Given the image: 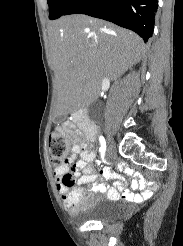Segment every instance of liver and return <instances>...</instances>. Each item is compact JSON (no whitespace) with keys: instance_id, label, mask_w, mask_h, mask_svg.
Returning a JSON list of instances; mask_svg holds the SVG:
<instances>
[{"instance_id":"1","label":"liver","mask_w":183,"mask_h":246,"mask_svg":"<svg viewBox=\"0 0 183 246\" xmlns=\"http://www.w3.org/2000/svg\"><path fill=\"white\" fill-rule=\"evenodd\" d=\"M57 108L78 109L105 76L115 80L140 62L143 40L132 31L86 15H70L48 27Z\"/></svg>"}]
</instances>
